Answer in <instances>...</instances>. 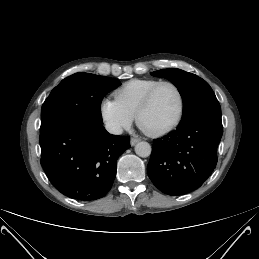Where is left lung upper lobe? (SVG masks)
<instances>
[{"label":"left lung upper lobe","mask_w":259,"mask_h":259,"mask_svg":"<svg viewBox=\"0 0 259 259\" xmlns=\"http://www.w3.org/2000/svg\"><path fill=\"white\" fill-rule=\"evenodd\" d=\"M151 74L170 80L179 90L183 99V116L179 126L199 118L221 119L220 104L209 84L202 78L177 68L162 69Z\"/></svg>","instance_id":"5c2ea615"}]
</instances>
